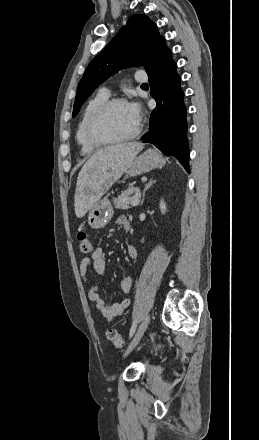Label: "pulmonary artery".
I'll use <instances>...</instances> for the list:
<instances>
[{
	"instance_id": "pulmonary-artery-1",
	"label": "pulmonary artery",
	"mask_w": 259,
	"mask_h": 440,
	"mask_svg": "<svg viewBox=\"0 0 259 440\" xmlns=\"http://www.w3.org/2000/svg\"><path fill=\"white\" fill-rule=\"evenodd\" d=\"M135 80H136L138 83H144V82L147 81V76H146L144 73H142V72H138V73L135 75ZM101 91L104 92V93L109 94V90H108L107 88H103Z\"/></svg>"
}]
</instances>
